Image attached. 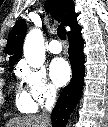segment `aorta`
I'll return each mask as SVG.
<instances>
[{"mask_svg": "<svg viewBox=\"0 0 108 127\" xmlns=\"http://www.w3.org/2000/svg\"><path fill=\"white\" fill-rule=\"evenodd\" d=\"M24 57L32 68H40L45 62L43 34L39 29H32L26 35L23 46Z\"/></svg>", "mask_w": 108, "mask_h": 127, "instance_id": "aorta-1", "label": "aorta"}]
</instances>
